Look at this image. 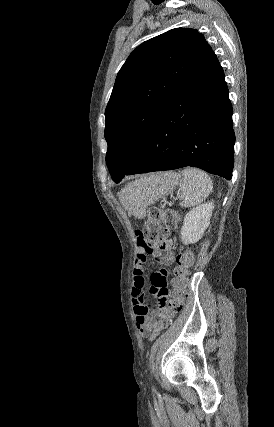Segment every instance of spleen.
<instances>
[{"instance_id": "obj_1", "label": "spleen", "mask_w": 274, "mask_h": 427, "mask_svg": "<svg viewBox=\"0 0 274 427\" xmlns=\"http://www.w3.org/2000/svg\"><path fill=\"white\" fill-rule=\"evenodd\" d=\"M183 176V182L180 186L181 202L180 206L183 208H191V206H198L202 204L203 200H206L212 190V182L201 170H196V168H186L181 172ZM138 186L140 188H149L150 182H139ZM153 196L149 194L147 200H152Z\"/></svg>"}]
</instances>
